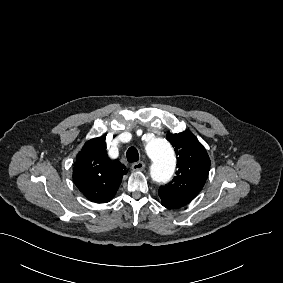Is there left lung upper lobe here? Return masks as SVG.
Instances as JSON below:
<instances>
[{"label": "left lung upper lobe", "instance_id": "1", "mask_svg": "<svg viewBox=\"0 0 283 283\" xmlns=\"http://www.w3.org/2000/svg\"><path fill=\"white\" fill-rule=\"evenodd\" d=\"M167 139L178 156V171L168 185L159 188L158 194L164 207L174 209L188 204L201 191L210 170V159L190 131L168 133Z\"/></svg>", "mask_w": 283, "mask_h": 283}]
</instances>
